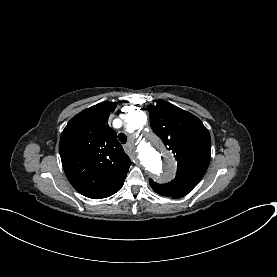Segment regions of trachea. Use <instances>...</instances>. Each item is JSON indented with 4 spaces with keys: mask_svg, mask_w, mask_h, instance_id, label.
Segmentation results:
<instances>
[{
    "mask_svg": "<svg viewBox=\"0 0 277 277\" xmlns=\"http://www.w3.org/2000/svg\"><path fill=\"white\" fill-rule=\"evenodd\" d=\"M118 139L122 144H125L127 142V136L124 133H120L118 135Z\"/></svg>",
    "mask_w": 277,
    "mask_h": 277,
    "instance_id": "obj_1",
    "label": "trachea"
}]
</instances>
